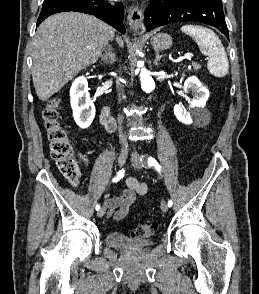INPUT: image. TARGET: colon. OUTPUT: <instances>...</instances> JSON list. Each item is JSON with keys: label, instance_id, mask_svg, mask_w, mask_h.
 <instances>
[{"label": "colon", "instance_id": "5ec220e1", "mask_svg": "<svg viewBox=\"0 0 259 294\" xmlns=\"http://www.w3.org/2000/svg\"><path fill=\"white\" fill-rule=\"evenodd\" d=\"M44 127L49 141L52 158L67 181L77 186L80 172L74 158L73 145L68 137L65 127L60 121L59 99L55 98L48 102L42 112ZM157 226L151 223L140 224L134 231L138 237H151L155 234Z\"/></svg>", "mask_w": 259, "mask_h": 294}]
</instances>
